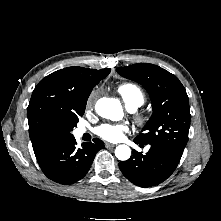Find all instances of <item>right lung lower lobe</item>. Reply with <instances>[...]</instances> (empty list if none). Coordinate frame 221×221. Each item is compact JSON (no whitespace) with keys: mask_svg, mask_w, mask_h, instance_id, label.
<instances>
[{"mask_svg":"<svg viewBox=\"0 0 221 221\" xmlns=\"http://www.w3.org/2000/svg\"><path fill=\"white\" fill-rule=\"evenodd\" d=\"M74 136L58 142L49 152L37 158L40 168L51 180L60 184H72L89 171L96 153L104 148V142L94 138L93 142L76 147Z\"/></svg>","mask_w":221,"mask_h":221,"instance_id":"1","label":"right lung lower lobe"}]
</instances>
